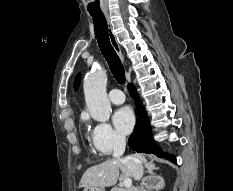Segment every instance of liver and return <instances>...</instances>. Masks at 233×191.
Instances as JSON below:
<instances>
[{"label": "liver", "mask_w": 233, "mask_h": 191, "mask_svg": "<svg viewBox=\"0 0 233 191\" xmlns=\"http://www.w3.org/2000/svg\"><path fill=\"white\" fill-rule=\"evenodd\" d=\"M137 158L147 163L143 154H135ZM119 170H121V175ZM132 176L130 169L119 160H107L101 164L88 168L80 180L79 187L104 188L114 186L118 179H127Z\"/></svg>", "instance_id": "6515ba94"}]
</instances>
